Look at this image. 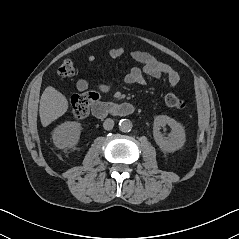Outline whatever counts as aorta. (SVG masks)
<instances>
[{
  "instance_id": "1",
  "label": "aorta",
  "mask_w": 239,
  "mask_h": 239,
  "mask_svg": "<svg viewBox=\"0 0 239 239\" xmlns=\"http://www.w3.org/2000/svg\"><path fill=\"white\" fill-rule=\"evenodd\" d=\"M133 127L132 122L129 119H122L119 122V129L122 132H129Z\"/></svg>"
}]
</instances>
